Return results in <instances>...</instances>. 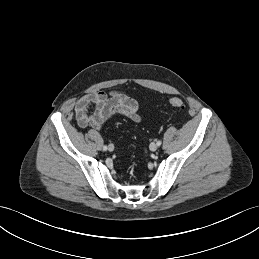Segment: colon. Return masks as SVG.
Segmentation results:
<instances>
[{"instance_id": "1", "label": "colon", "mask_w": 259, "mask_h": 259, "mask_svg": "<svg viewBox=\"0 0 259 259\" xmlns=\"http://www.w3.org/2000/svg\"><path fill=\"white\" fill-rule=\"evenodd\" d=\"M170 105L173 108L180 109V110L185 108L184 102L181 99H179V98H172V99H170Z\"/></svg>"}]
</instances>
